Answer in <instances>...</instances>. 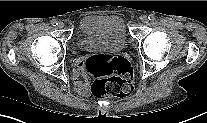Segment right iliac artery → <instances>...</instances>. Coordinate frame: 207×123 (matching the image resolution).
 Here are the masks:
<instances>
[{
	"label": "right iliac artery",
	"instance_id": "obj_1",
	"mask_svg": "<svg viewBox=\"0 0 207 123\" xmlns=\"http://www.w3.org/2000/svg\"><path fill=\"white\" fill-rule=\"evenodd\" d=\"M51 24H52V26H57L58 25V21L57 20H52Z\"/></svg>",
	"mask_w": 207,
	"mask_h": 123
}]
</instances>
